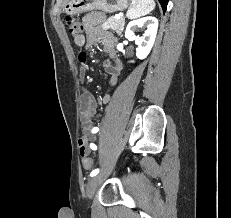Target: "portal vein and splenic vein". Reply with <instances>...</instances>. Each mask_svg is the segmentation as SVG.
I'll use <instances>...</instances> for the list:
<instances>
[{
    "label": "portal vein and splenic vein",
    "mask_w": 231,
    "mask_h": 218,
    "mask_svg": "<svg viewBox=\"0 0 231 218\" xmlns=\"http://www.w3.org/2000/svg\"><path fill=\"white\" fill-rule=\"evenodd\" d=\"M117 19H120L121 18V15H116L115 16Z\"/></svg>",
    "instance_id": "1"
}]
</instances>
